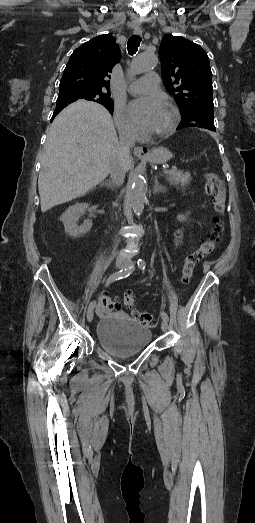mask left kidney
<instances>
[{
	"label": "left kidney",
	"mask_w": 255,
	"mask_h": 523,
	"mask_svg": "<svg viewBox=\"0 0 255 523\" xmlns=\"http://www.w3.org/2000/svg\"><path fill=\"white\" fill-rule=\"evenodd\" d=\"M177 220H179V222H185V220H187L186 216H183V214H180V216H177Z\"/></svg>",
	"instance_id": "obj_1"
}]
</instances>
